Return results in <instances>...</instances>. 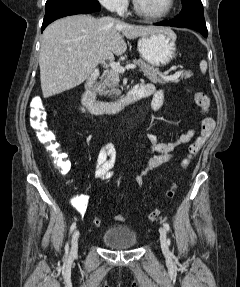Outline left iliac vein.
Segmentation results:
<instances>
[{
  "instance_id": "4c4485c4",
  "label": "left iliac vein",
  "mask_w": 240,
  "mask_h": 287,
  "mask_svg": "<svg viewBox=\"0 0 240 287\" xmlns=\"http://www.w3.org/2000/svg\"><path fill=\"white\" fill-rule=\"evenodd\" d=\"M160 233V243L161 248L163 252H168V243H167V237H166V231L163 227L159 229Z\"/></svg>"
}]
</instances>
